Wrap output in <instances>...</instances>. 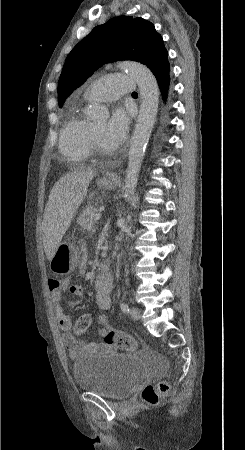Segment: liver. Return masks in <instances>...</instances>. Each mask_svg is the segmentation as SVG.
<instances>
[{
    "label": "liver",
    "mask_w": 245,
    "mask_h": 450,
    "mask_svg": "<svg viewBox=\"0 0 245 450\" xmlns=\"http://www.w3.org/2000/svg\"><path fill=\"white\" fill-rule=\"evenodd\" d=\"M95 175L96 171L92 168H80L60 178L51 189L42 224L44 250L49 261L60 245Z\"/></svg>",
    "instance_id": "6515ba94"
}]
</instances>
